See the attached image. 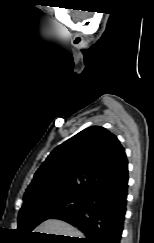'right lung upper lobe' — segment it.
Returning a JSON list of instances; mask_svg holds the SVG:
<instances>
[{
  "label": "right lung upper lobe",
  "mask_w": 154,
  "mask_h": 243,
  "mask_svg": "<svg viewBox=\"0 0 154 243\" xmlns=\"http://www.w3.org/2000/svg\"><path fill=\"white\" fill-rule=\"evenodd\" d=\"M128 167L124 148L103 127L92 126L56 147L34 175L23 201L72 195L87 197Z\"/></svg>",
  "instance_id": "cb5924a9"
}]
</instances>
